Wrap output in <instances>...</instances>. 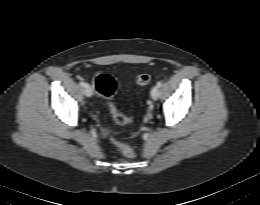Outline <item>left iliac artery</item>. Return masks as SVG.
<instances>
[{"mask_svg":"<svg viewBox=\"0 0 260 205\" xmlns=\"http://www.w3.org/2000/svg\"><path fill=\"white\" fill-rule=\"evenodd\" d=\"M157 86L161 87L162 86V82L161 81L157 82Z\"/></svg>","mask_w":260,"mask_h":205,"instance_id":"1","label":"left iliac artery"}]
</instances>
